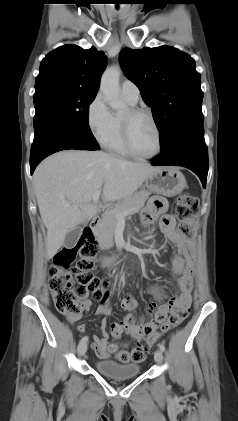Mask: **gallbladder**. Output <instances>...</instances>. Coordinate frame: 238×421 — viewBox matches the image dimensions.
Returning <instances> with one entry per match:
<instances>
[{"instance_id": "bac80fb5", "label": "gallbladder", "mask_w": 238, "mask_h": 421, "mask_svg": "<svg viewBox=\"0 0 238 421\" xmlns=\"http://www.w3.org/2000/svg\"><path fill=\"white\" fill-rule=\"evenodd\" d=\"M82 228H83V226H76L74 229H72L71 231H69L67 233V235L64 239V243H63V245L66 248L71 249L76 245V243H77V241H78V239L81 235Z\"/></svg>"}]
</instances>
